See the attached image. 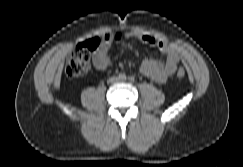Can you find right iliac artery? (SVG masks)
Instances as JSON below:
<instances>
[{"mask_svg":"<svg viewBox=\"0 0 243 167\" xmlns=\"http://www.w3.org/2000/svg\"><path fill=\"white\" fill-rule=\"evenodd\" d=\"M119 78L122 79V80H125L126 79V75L124 73H120L119 74Z\"/></svg>","mask_w":243,"mask_h":167,"instance_id":"1","label":"right iliac artery"}]
</instances>
